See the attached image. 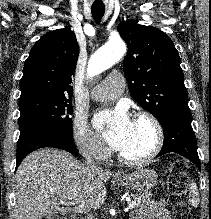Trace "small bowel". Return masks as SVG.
<instances>
[{
    "label": "small bowel",
    "instance_id": "obj_1",
    "mask_svg": "<svg viewBox=\"0 0 211 219\" xmlns=\"http://www.w3.org/2000/svg\"><path fill=\"white\" fill-rule=\"evenodd\" d=\"M132 219H170L169 212L162 202H156L149 207L142 208Z\"/></svg>",
    "mask_w": 211,
    "mask_h": 219
}]
</instances>
